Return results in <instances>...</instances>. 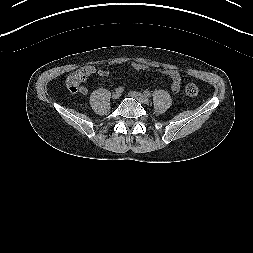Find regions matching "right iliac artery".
Instances as JSON below:
<instances>
[{"label":"right iliac artery","mask_w":253,"mask_h":253,"mask_svg":"<svg viewBox=\"0 0 253 253\" xmlns=\"http://www.w3.org/2000/svg\"><path fill=\"white\" fill-rule=\"evenodd\" d=\"M124 91V87H118L116 89V93H122Z\"/></svg>","instance_id":"82829eb1"}]
</instances>
